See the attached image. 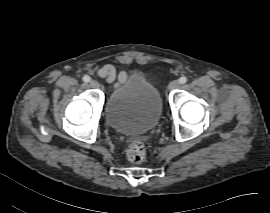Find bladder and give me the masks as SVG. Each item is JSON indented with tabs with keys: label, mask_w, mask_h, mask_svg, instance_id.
<instances>
[{
	"label": "bladder",
	"mask_w": 270,
	"mask_h": 213,
	"mask_svg": "<svg viewBox=\"0 0 270 213\" xmlns=\"http://www.w3.org/2000/svg\"><path fill=\"white\" fill-rule=\"evenodd\" d=\"M162 109L158 90L143 75L135 74L109 94L105 118L115 130L139 135L156 127Z\"/></svg>",
	"instance_id": "31cf9c89"
}]
</instances>
